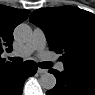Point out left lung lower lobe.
Masks as SVG:
<instances>
[{
  "mask_svg": "<svg viewBox=\"0 0 95 95\" xmlns=\"http://www.w3.org/2000/svg\"><path fill=\"white\" fill-rule=\"evenodd\" d=\"M63 72L50 69L56 79V86L47 95H95V73L64 67Z\"/></svg>",
  "mask_w": 95,
  "mask_h": 95,
  "instance_id": "left-lung-lower-lobe-1",
  "label": "left lung lower lobe"
}]
</instances>
